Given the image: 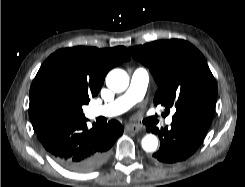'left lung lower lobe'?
<instances>
[{"label": "left lung lower lobe", "mask_w": 245, "mask_h": 187, "mask_svg": "<svg viewBox=\"0 0 245 187\" xmlns=\"http://www.w3.org/2000/svg\"><path fill=\"white\" fill-rule=\"evenodd\" d=\"M206 121H173L170 127L147 129L160 138V149L153 157L163 163H176L190 157L202 144L208 131Z\"/></svg>", "instance_id": "1"}]
</instances>
